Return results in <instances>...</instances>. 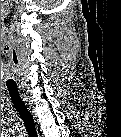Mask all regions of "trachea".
Instances as JSON below:
<instances>
[{
  "mask_svg": "<svg viewBox=\"0 0 121 137\" xmlns=\"http://www.w3.org/2000/svg\"><path fill=\"white\" fill-rule=\"evenodd\" d=\"M8 75L6 80V86L9 91L11 100L16 108V110L19 112L22 120L24 121L26 128L29 131H34L35 129V123L33 120V117L31 116L30 112L28 111L25 103L20 97L17 84L15 81V72L13 71L11 66L7 67Z\"/></svg>",
  "mask_w": 121,
  "mask_h": 137,
  "instance_id": "3493384b",
  "label": "trachea"
}]
</instances>
